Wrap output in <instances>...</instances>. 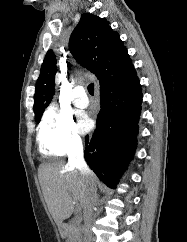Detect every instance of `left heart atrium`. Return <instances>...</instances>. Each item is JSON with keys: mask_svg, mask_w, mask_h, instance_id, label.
<instances>
[{"mask_svg": "<svg viewBox=\"0 0 187 242\" xmlns=\"http://www.w3.org/2000/svg\"><path fill=\"white\" fill-rule=\"evenodd\" d=\"M78 127L81 132H88L92 127V120L88 115L80 113L78 115Z\"/></svg>", "mask_w": 187, "mask_h": 242, "instance_id": "obj_1", "label": "left heart atrium"}]
</instances>
